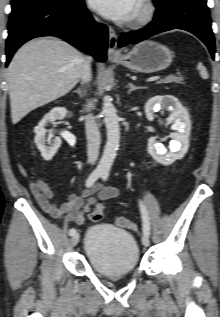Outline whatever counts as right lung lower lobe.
<instances>
[{
	"label": "right lung lower lobe",
	"mask_w": 220,
	"mask_h": 317,
	"mask_svg": "<svg viewBox=\"0 0 220 317\" xmlns=\"http://www.w3.org/2000/svg\"><path fill=\"white\" fill-rule=\"evenodd\" d=\"M8 32L6 66L22 44L40 36L62 38L98 61L106 60L107 27L93 20L83 0L69 6L35 4L12 10Z\"/></svg>",
	"instance_id": "1"
}]
</instances>
